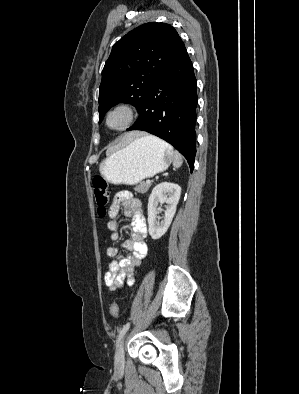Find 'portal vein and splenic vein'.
I'll return each mask as SVG.
<instances>
[{
	"label": "portal vein and splenic vein",
	"instance_id": "18ae733b",
	"mask_svg": "<svg viewBox=\"0 0 299 394\" xmlns=\"http://www.w3.org/2000/svg\"><path fill=\"white\" fill-rule=\"evenodd\" d=\"M151 182H152V181H151L150 179L146 180V183H147V184H151Z\"/></svg>",
	"mask_w": 299,
	"mask_h": 394
}]
</instances>
